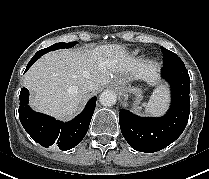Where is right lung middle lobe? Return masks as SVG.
<instances>
[{"label": "right lung middle lobe", "mask_w": 209, "mask_h": 179, "mask_svg": "<svg viewBox=\"0 0 209 179\" xmlns=\"http://www.w3.org/2000/svg\"><path fill=\"white\" fill-rule=\"evenodd\" d=\"M77 42H70V43H65V42H61V43H56L48 48H45V49H42V50H39L35 55H43L49 51H54V50H57V49H60V48H70V47H73L74 45H76Z\"/></svg>", "instance_id": "dd1d6c3e"}]
</instances>
